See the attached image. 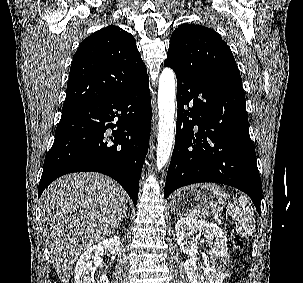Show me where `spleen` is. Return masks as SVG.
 <instances>
[{
    "label": "spleen",
    "instance_id": "1",
    "mask_svg": "<svg viewBox=\"0 0 303 283\" xmlns=\"http://www.w3.org/2000/svg\"><path fill=\"white\" fill-rule=\"evenodd\" d=\"M228 214L235 220L236 232L243 238L253 235L256 227L255 215L249 199L245 195L233 197L227 206Z\"/></svg>",
    "mask_w": 303,
    "mask_h": 283
}]
</instances>
